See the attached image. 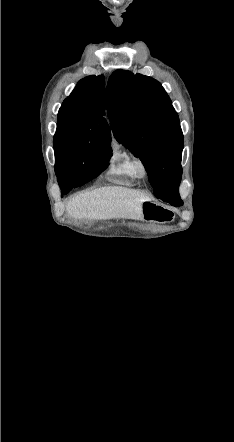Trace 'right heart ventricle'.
<instances>
[{
	"instance_id": "1",
	"label": "right heart ventricle",
	"mask_w": 234,
	"mask_h": 442,
	"mask_svg": "<svg viewBox=\"0 0 234 442\" xmlns=\"http://www.w3.org/2000/svg\"><path fill=\"white\" fill-rule=\"evenodd\" d=\"M106 175L122 183H133L139 177L134 168V157L121 143L113 142Z\"/></svg>"
}]
</instances>
